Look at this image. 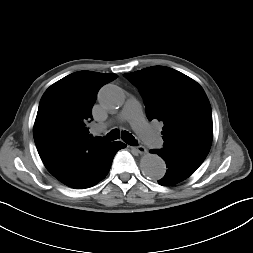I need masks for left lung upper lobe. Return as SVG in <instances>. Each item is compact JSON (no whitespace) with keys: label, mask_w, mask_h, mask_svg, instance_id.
<instances>
[{"label":"left lung upper lobe","mask_w":253,"mask_h":253,"mask_svg":"<svg viewBox=\"0 0 253 253\" xmlns=\"http://www.w3.org/2000/svg\"><path fill=\"white\" fill-rule=\"evenodd\" d=\"M143 97L149 121L163 126L162 150L204 160L213 138L212 111L202 87L185 74L152 66L124 74Z\"/></svg>","instance_id":"left-lung-upper-lobe-1"}]
</instances>
